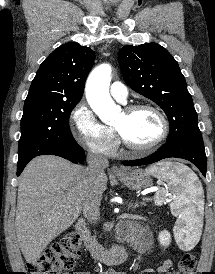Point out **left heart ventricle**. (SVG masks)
<instances>
[{
    "mask_svg": "<svg viewBox=\"0 0 215 274\" xmlns=\"http://www.w3.org/2000/svg\"><path fill=\"white\" fill-rule=\"evenodd\" d=\"M114 126L132 144L146 145L161 133L162 125L158 116L150 110H138L131 114L124 111L114 122Z\"/></svg>",
    "mask_w": 215,
    "mask_h": 274,
    "instance_id": "b2bd125f",
    "label": "left heart ventricle"
}]
</instances>
